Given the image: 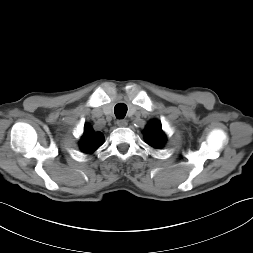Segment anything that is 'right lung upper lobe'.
Wrapping results in <instances>:
<instances>
[{"mask_svg":"<svg viewBox=\"0 0 253 253\" xmlns=\"http://www.w3.org/2000/svg\"><path fill=\"white\" fill-rule=\"evenodd\" d=\"M103 141H104V137L102 133L94 132L93 129L89 125H86L84 128V134L80 141V148L85 153H92L98 147L101 146Z\"/></svg>","mask_w":253,"mask_h":253,"instance_id":"right-lung-upper-lobe-1","label":"right lung upper lobe"}]
</instances>
